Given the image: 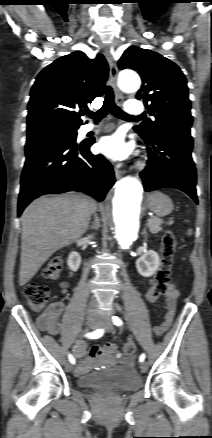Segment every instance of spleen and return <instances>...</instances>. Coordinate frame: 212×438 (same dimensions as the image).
<instances>
[{
	"instance_id": "obj_1",
	"label": "spleen",
	"mask_w": 212,
	"mask_h": 438,
	"mask_svg": "<svg viewBox=\"0 0 212 438\" xmlns=\"http://www.w3.org/2000/svg\"><path fill=\"white\" fill-rule=\"evenodd\" d=\"M192 234V231H191V229L190 230H188V235H191Z\"/></svg>"
}]
</instances>
